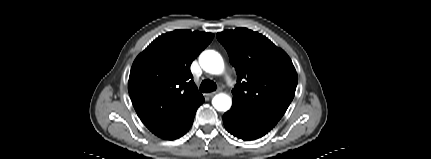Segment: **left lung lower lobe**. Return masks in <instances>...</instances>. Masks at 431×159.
Returning <instances> with one entry per match:
<instances>
[{
	"label": "left lung lower lobe",
	"instance_id": "left-lung-lower-lobe-1",
	"mask_svg": "<svg viewBox=\"0 0 431 159\" xmlns=\"http://www.w3.org/2000/svg\"><path fill=\"white\" fill-rule=\"evenodd\" d=\"M223 122L229 133L245 141L264 136L276 125L272 122L243 114L234 107H231L223 115Z\"/></svg>",
	"mask_w": 431,
	"mask_h": 159
}]
</instances>
